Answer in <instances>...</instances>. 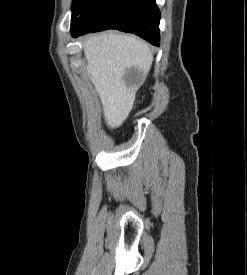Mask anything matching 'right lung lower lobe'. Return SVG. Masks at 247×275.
<instances>
[{
    "instance_id": "98d812e1",
    "label": "right lung lower lobe",
    "mask_w": 247,
    "mask_h": 275,
    "mask_svg": "<svg viewBox=\"0 0 247 275\" xmlns=\"http://www.w3.org/2000/svg\"><path fill=\"white\" fill-rule=\"evenodd\" d=\"M159 21L155 0H104L79 17L71 27V34L78 37L88 32L118 29L159 46Z\"/></svg>"
}]
</instances>
